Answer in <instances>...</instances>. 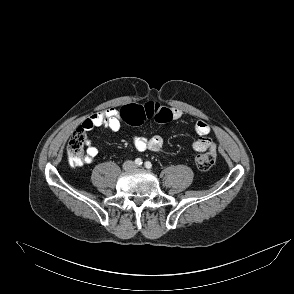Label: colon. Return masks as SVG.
Wrapping results in <instances>:
<instances>
[{"mask_svg":"<svg viewBox=\"0 0 294 294\" xmlns=\"http://www.w3.org/2000/svg\"><path fill=\"white\" fill-rule=\"evenodd\" d=\"M121 120L130 125H141L147 120H154L158 123H166L172 120V113L169 108L158 103L148 102L145 104H129L120 110ZM85 143V132L80 127L76 129L69 138L67 144V155L69 164L77 167L83 164V152ZM216 161L214 151L201 152L196 157V165L202 170H209Z\"/></svg>","mask_w":294,"mask_h":294,"instance_id":"obj_1","label":"colon"}]
</instances>
